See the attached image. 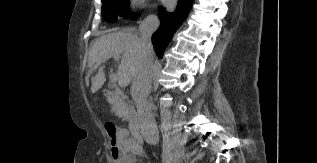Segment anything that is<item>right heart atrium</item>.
Returning a JSON list of instances; mask_svg holds the SVG:
<instances>
[{
    "instance_id": "d8ad5b80",
    "label": "right heart atrium",
    "mask_w": 317,
    "mask_h": 163,
    "mask_svg": "<svg viewBox=\"0 0 317 163\" xmlns=\"http://www.w3.org/2000/svg\"><path fill=\"white\" fill-rule=\"evenodd\" d=\"M148 0H128V6L129 8L136 10V9H140L143 8Z\"/></svg>"
}]
</instances>
